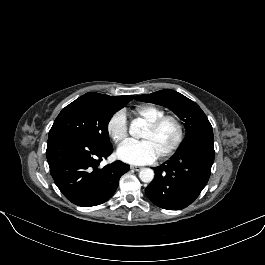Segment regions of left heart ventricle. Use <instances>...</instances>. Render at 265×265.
Masks as SVG:
<instances>
[{"instance_id":"b2bd125f","label":"left heart ventricle","mask_w":265,"mask_h":265,"mask_svg":"<svg viewBox=\"0 0 265 265\" xmlns=\"http://www.w3.org/2000/svg\"><path fill=\"white\" fill-rule=\"evenodd\" d=\"M177 127L173 121H166L158 130L150 131L144 129L141 140L151 143L158 156L168 149L176 140Z\"/></svg>"}]
</instances>
